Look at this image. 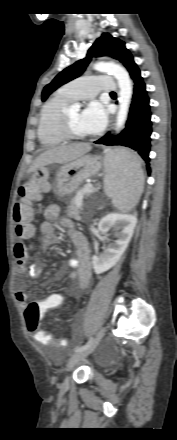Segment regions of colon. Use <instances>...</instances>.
<instances>
[{
    "label": "colon",
    "mask_w": 177,
    "mask_h": 440,
    "mask_svg": "<svg viewBox=\"0 0 177 440\" xmlns=\"http://www.w3.org/2000/svg\"><path fill=\"white\" fill-rule=\"evenodd\" d=\"M48 190L47 173L39 171L30 180L25 182L19 188L20 200L14 205L13 219L16 223L15 233L17 236L26 238L32 233V204L40 199L42 192ZM66 303L65 298H35L33 302L28 304L23 318L31 333L36 334L33 338L37 342H41V346H51L52 352H60L66 347V340L56 338L52 334H48L47 330H38L39 324L43 316L48 311H59Z\"/></svg>",
    "instance_id": "5ec220e1"
}]
</instances>
